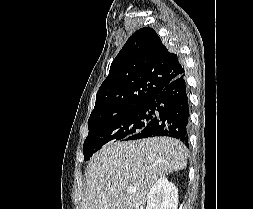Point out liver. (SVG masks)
Returning a JSON list of instances; mask_svg holds the SVG:
<instances>
[{
    "label": "liver",
    "instance_id": "liver-1",
    "mask_svg": "<svg viewBox=\"0 0 253 209\" xmlns=\"http://www.w3.org/2000/svg\"><path fill=\"white\" fill-rule=\"evenodd\" d=\"M186 166L187 149L175 138L105 145L86 168L81 209H144L155 182ZM129 187L135 192L128 194Z\"/></svg>",
    "mask_w": 253,
    "mask_h": 209
}]
</instances>
